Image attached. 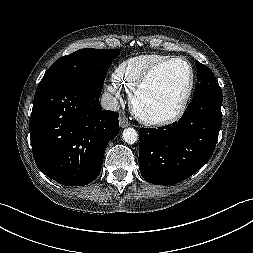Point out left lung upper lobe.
Segmentation results:
<instances>
[{"label": "left lung upper lobe", "mask_w": 253, "mask_h": 253, "mask_svg": "<svg viewBox=\"0 0 253 253\" xmlns=\"http://www.w3.org/2000/svg\"><path fill=\"white\" fill-rule=\"evenodd\" d=\"M198 78L194 92V98L202 95L222 96L221 88L218 81L215 79L212 71L207 66L196 61Z\"/></svg>", "instance_id": "1"}]
</instances>
